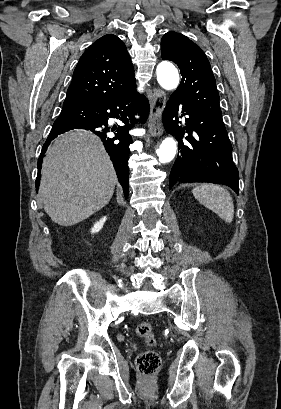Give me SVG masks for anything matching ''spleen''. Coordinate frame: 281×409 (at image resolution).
Segmentation results:
<instances>
[{"label": "spleen", "instance_id": "1", "mask_svg": "<svg viewBox=\"0 0 281 409\" xmlns=\"http://www.w3.org/2000/svg\"><path fill=\"white\" fill-rule=\"evenodd\" d=\"M195 198L201 205L216 213L226 223H232L234 217V205L230 192L219 184H200L192 190Z\"/></svg>", "mask_w": 281, "mask_h": 409}]
</instances>
